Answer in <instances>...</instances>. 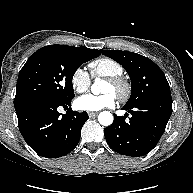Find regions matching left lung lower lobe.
I'll list each match as a JSON object with an SVG mask.
<instances>
[{
	"label": "left lung lower lobe",
	"mask_w": 193,
	"mask_h": 193,
	"mask_svg": "<svg viewBox=\"0 0 193 193\" xmlns=\"http://www.w3.org/2000/svg\"><path fill=\"white\" fill-rule=\"evenodd\" d=\"M131 113L129 121L125 116L115 115L112 125L104 129L108 145L121 155L139 157L148 154L163 135L172 114L170 88L143 100L134 107H123Z\"/></svg>",
	"instance_id": "left-lung-lower-lobe-1"
}]
</instances>
